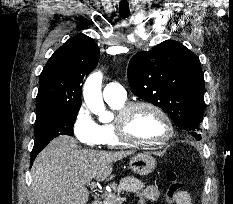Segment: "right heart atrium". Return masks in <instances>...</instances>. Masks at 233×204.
<instances>
[{
	"label": "right heart atrium",
	"mask_w": 233,
	"mask_h": 204,
	"mask_svg": "<svg viewBox=\"0 0 233 204\" xmlns=\"http://www.w3.org/2000/svg\"><path fill=\"white\" fill-rule=\"evenodd\" d=\"M72 131L75 138L87 147L101 145L99 124L93 119L89 110L81 106L73 119Z\"/></svg>",
	"instance_id": "right-heart-atrium-1"
}]
</instances>
